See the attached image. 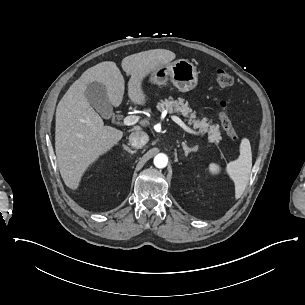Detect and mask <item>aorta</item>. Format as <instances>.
<instances>
[{
	"instance_id": "aorta-1",
	"label": "aorta",
	"mask_w": 305,
	"mask_h": 305,
	"mask_svg": "<svg viewBox=\"0 0 305 305\" xmlns=\"http://www.w3.org/2000/svg\"><path fill=\"white\" fill-rule=\"evenodd\" d=\"M154 165L159 168H165L168 164V157L164 153H159L154 157Z\"/></svg>"
}]
</instances>
